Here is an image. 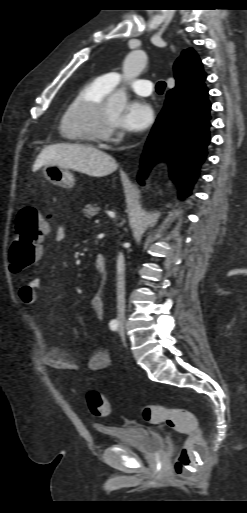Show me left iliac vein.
Wrapping results in <instances>:
<instances>
[{"label":"left iliac vein","instance_id":"1","mask_svg":"<svg viewBox=\"0 0 247 513\" xmlns=\"http://www.w3.org/2000/svg\"><path fill=\"white\" fill-rule=\"evenodd\" d=\"M119 332L123 342H125L124 327L122 325L120 326Z\"/></svg>","mask_w":247,"mask_h":513}]
</instances>
